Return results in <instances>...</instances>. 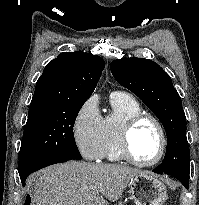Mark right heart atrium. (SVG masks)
Instances as JSON below:
<instances>
[{
  "mask_svg": "<svg viewBox=\"0 0 199 205\" xmlns=\"http://www.w3.org/2000/svg\"><path fill=\"white\" fill-rule=\"evenodd\" d=\"M73 138L85 159L98 161L102 158V117L96 97L88 98L79 108L73 123Z\"/></svg>",
  "mask_w": 199,
  "mask_h": 205,
  "instance_id": "right-heart-atrium-1",
  "label": "right heart atrium"
}]
</instances>
